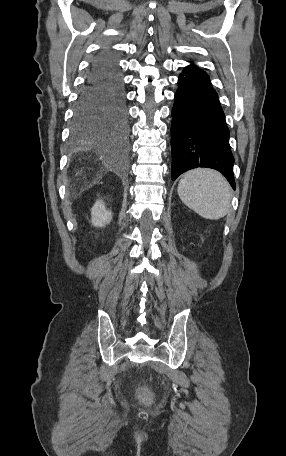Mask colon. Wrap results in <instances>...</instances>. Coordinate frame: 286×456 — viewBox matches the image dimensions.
<instances>
[{
  "instance_id": "colon-1",
  "label": "colon",
  "mask_w": 286,
  "mask_h": 456,
  "mask_svg": "<svg viewBox=\"0 0 286 456\" xmlns=\"http://www.w3.org/2000/svg\"><path fill=\"white\" fill-rule=\"evenodd\" d=\"M140 395L143 398H148L149 397V390L146 388H140Z\"/></svg>"
}]
</instances>
